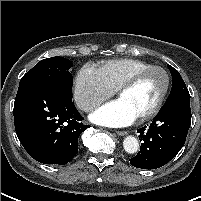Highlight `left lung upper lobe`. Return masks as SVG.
Wrapping results in <instances>:
<instances>
[{"mask_svg":"<svg viewBox=\"0 0 201 201\" xmlns=\"http://www.w3.org/2000/svg\"><path fill=\"white\" fill-rule=\"evenodd\" d=\"M168 68L172 75V89L168 96L167 101L173 98L181 97V96H190L189 91L180 73L170 65H168Z\"/></svg>","mask_w":201,"mask_h":201,"instance_id":"left-lung-upper-lobe-1","label":"left lung upper lobe"}]
</instances>
